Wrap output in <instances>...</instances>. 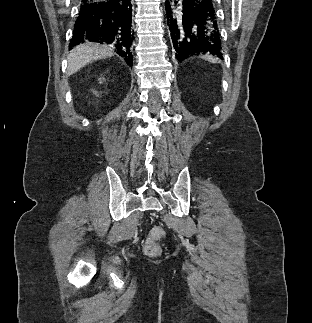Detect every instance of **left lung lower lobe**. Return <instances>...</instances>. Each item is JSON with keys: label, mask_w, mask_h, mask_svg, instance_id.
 Instances as JSON below:
<instances>
[{"label": "left lung lower lobe", "mask_w": 312, "mask_h": 323, "mask_svg": "<svg viewBox=\"0 0 312 323\" xmlns=\"http://www.w3.org/2000/svg\"><path fill=\"white\" fill-rule=\"evenodd\" d=\"M165 5L171 49L178 61L199 54L222 58L214 0H171Z\"/></svg>", "instance_id": "1"}]
</instances>
